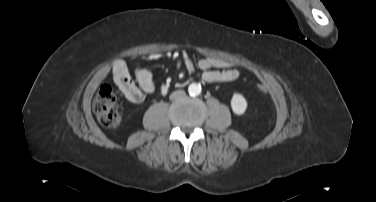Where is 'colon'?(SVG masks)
<instances>
[{"label": "colon", "instance_id": "obj_1", "mask_svg": "<svg viewBox=\"0 0 376 202\" xmlns=\"http://www.w3.org/2000/svg\"><path fill=\"white\" fill-rule=\"evenodd\" d=\"M257 89L261 93L267 91L264 83H259ZM93 110L99 122L109 128H117L122 122V114L117 104L116 96L112 88L103 85L97 91L93 100Z\"/></svg>", "mask_w": 376, "mask_h": 202}]
</instances>
